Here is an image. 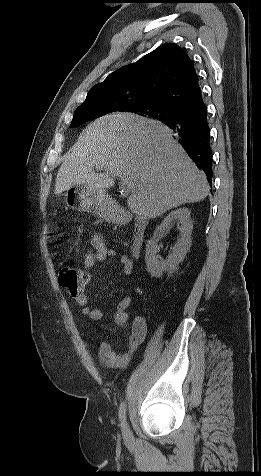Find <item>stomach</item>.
Here are the masks:
<instances>
[{
    "label": "stomach",
    "instance_id": "obj_1",
    "mask_svg": "<svg viewBox=\"0 0 261 476\" xmlns=\"http://www.w3.org/2000/svg\"><path fill=\"white\" fill-rule=\"evenodd\" d=\"M67 205L82 212H92L99 217L114 220L116 218L113 200L105 193L98 192L88 185H75L66 193Z\"/></svg>",
    "mask_w": 261,
    "mask_h": 476
}]
</instances>
